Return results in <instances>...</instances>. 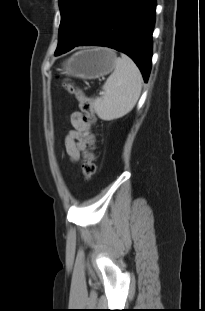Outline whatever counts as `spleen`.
<instances>
[{
	"label": "spleen",
	"mask_w": 205,
	"mask_h": 311,
	"mask_svg": "<svg viewBox=\"0 0 205 311\" xmlns=\"http://www.w3.org/2000/svg\"><path fill=\"white\" fill-rule=\"evenodd\" d=\"M142 75L136 64L122 54L115 60V70L103 85L104 94L91 102L97 115L106 121L128 114L138 101Z\"/></svg>",
	"instance_id": "obj_1"
}]
</instances>
